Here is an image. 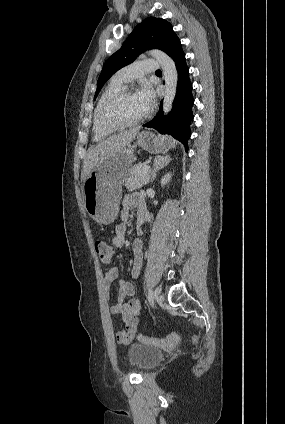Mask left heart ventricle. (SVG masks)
<instances>
[{
  "label": "left heart ventricle",
  "mask_w": 285,
  "mask_h": 424,
  "mask_svg": "<svg viewBox=\"0 0 285 424\" xmlns=\"http://www.w3.org/2000/svg\"><path fill=\"white\" fill-rule=\"evenodd\" d=\"M146 113L137 94H130L121 100L112 111V117L121 121H133Z\"/></svg>",
  "instance_id": "left-heart-ventricle-1"
}]
</instances>
